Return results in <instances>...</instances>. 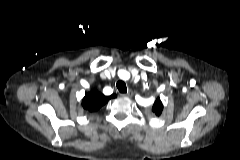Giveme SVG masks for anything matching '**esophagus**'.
<instances>
[{"label":"esophagus","instance_id":"1","mask_svg":"<svg viewBox=\"0 0 240 160\" xmlns=\"http://www.w3.org/2000/svg\"><path fill=\"white\" fill-rule=\"evenodd\" d=\"M125 97H131L132 96V93L131 92H127L126 94H124Z\"/></svg>","mask_w":240,"mask_h":160}]
</instances>
